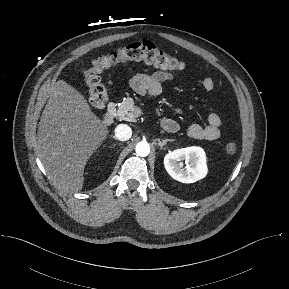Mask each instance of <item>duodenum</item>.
<instances>
[{
	"label": "duodenum",
	"mask_w": 289,
	"mask_h": 289,
	"mask_svg": "<svg viewBox=\"0 0 289 289\" xmlns=\"http://www.w3.org/2000/svg\"><path fill=\"white\" fill-rule=\"evenodd\" d=\"M114 114H115V107L113 105H110L103 116V123L105 125H110L113 122Z\"/></svg>",
	"instance_id": "410a0bca"
}]
</instances>
